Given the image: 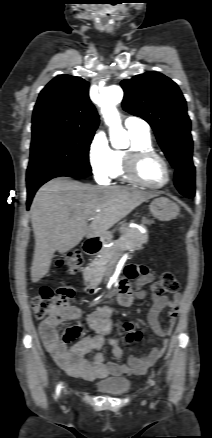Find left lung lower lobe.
I'll use <instances>...</instances> for the list:
<instances>
[{"mask_svg": "<svg viewBox=\"0 0 212 438\" xmlns=\"http://www.w3.org/2000/svg\"><path fill=\"white\" fill-rule=\"evenodd\" d=\"M175 185L179 192L189 198L195 195V167L192 157H187L175 167Z\"/></svg>", "mask_w": 212, "mask_h": 438, "instance_id": "1", "label": "left lung lower lobe"}]
</instances>
